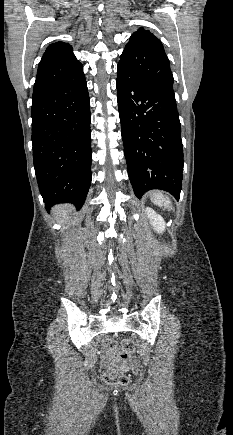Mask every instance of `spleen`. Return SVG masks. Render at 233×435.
<instances>
[{
    "mask_svg": "<svg viewBox=\"0 0 233 435\" xmlns=\"http://www.w3.org/2000/svg\"><path fill=\"white\" fill-rule=\"evenodd\" d=\"M150 198L155 205L160 207L164 206L165 208L172 209V203L170 198L167 195H165L163 192L153 191L150 194Z\"/></svg>",
    "mask_w": 233,
    "mask_h": 435,
    "instance_id": "3e777b00",
    "label": "spleen"
}]
</instances>
